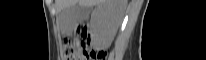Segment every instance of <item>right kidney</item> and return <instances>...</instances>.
<instances>
[{
    "instance_id": "ca27d5eb",
    "label": "right kidney",
    "mask_w": 206,
    "mask_h": 60,
    "mask_svg": "<svg viewBox=\"0 0 206 60\" xmlns=\"http://www.w3.org/2000/svg\"><path fill=\"white\" fill-rule=\"evenodd\" d=\"M124 4L119 0H109L95 9L92 16L93 43L97 47L110 44L123 16Z\"/></svg>"
}]
</instances>
